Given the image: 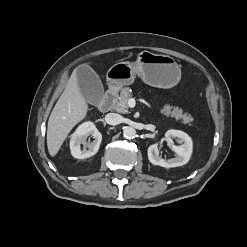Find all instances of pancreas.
<instances>
[{"label":"pancreas","mask_w":247,"mask_h":247,"mask_svg":"<svg viewBox=\"0 0 247 247\" xmlns=\"http://www.w3.org/2000/svg\"><path fill=\"white\" fill-rule=\"evenodd\" d=\"M132 97L131 89L129 87H125L120 92V97L117 103L114 106V109L120 113H128L129 106L128 100ZM161 113L167 117H173L176 120H180L183 124L191 125L193 118L188 113H184V111L178 107H172L170 105H164L161 109Z\"/></svg>","instance_id":"pancreas-1"}]
</instances>
